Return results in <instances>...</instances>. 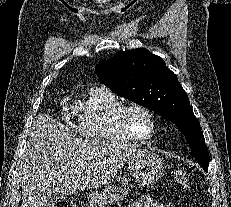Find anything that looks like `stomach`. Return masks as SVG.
<instances>
[{
	"instance_id": "stomach-1",
	"label": "stomach",
	"mask_w": 231,
	"mask_h": 207,
	"mask_svg": "<svg viewBox=\"0 0 231 207\" xmlns=\"http://www.w3.org/2000/svg\"><path fill=\"white\" fill-rule=\"evenodd\" d=\"M129 169L137 183L147 186L155 183L163 175L164 164L157 154L140 150L130 157ZM129 191L128 181L117 176L107 182L103 191L90 193L88 202L90 207H106L107 204L122 200Z\"/></svg>"
}]
</instances>
